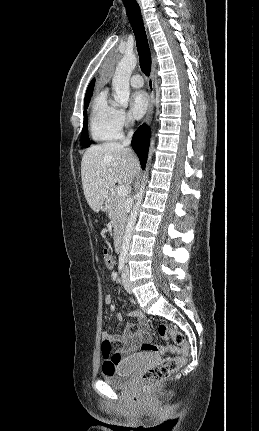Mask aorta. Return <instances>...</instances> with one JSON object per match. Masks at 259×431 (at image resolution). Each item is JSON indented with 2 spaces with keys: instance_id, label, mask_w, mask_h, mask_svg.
Masks as SVG:
<instances>
[{
  "instance_id": "aorta-1",
  "label": "aorta",
  "mask_w": 259,
  "mask_h": 431,
  "mask_svg": "<svg viewBox=\"0 0 259 431\" xmlns=\"http://www.w3.org/2000/svg\"><path fill=\"white\" fill-rule=\"evenodd\" d=\"M136 64H137V58L135 55L125 54L116 67V70L112 79V86L115 92L114 100L118 106H121V107L128 106L129 96H130L129 80L134 68L136 67ZM153 151H154V140L152 139L150 143L148 161L143 175L141 188L136 195V202L129 215L125 233L123 236V242H122V248H121V254L123 255H127L130 248V241L132 238L134 225L137 220L138 211L143 200L145 186L148 180V167L152 158Z\"/></svg>"
}]
</instances>
